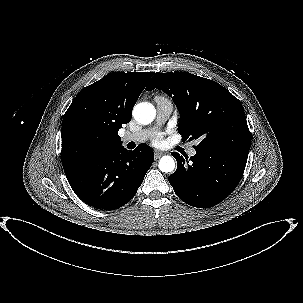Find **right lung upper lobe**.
Returning a JSON list of instances; mask_svg holds the SVG:
<instances>
[{"label":"right lung upper lobe","instance_id":"cb5924a9","mask_svg":"<svg viewBox=\"0 0 303 303\" xmlns=\"http://www.w3.org/2000/svg\"><path fill=\"white\" fill-rule=\"evenodd\" d=\"M154 72H112L85 87L62 121L61 161L65 173L121 146L118 130Z\"/></svg>","mask_w":303,"mask_h":303}]
</instances>
